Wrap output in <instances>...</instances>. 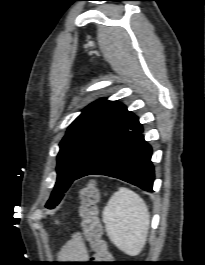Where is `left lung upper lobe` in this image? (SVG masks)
Returning <instances> with one entry per match:
<instances>
[{"label":"left lung upper lobe","mask_w":205,"mask_h":265,"mask_svg":"<svg viewBox=\"0 0 205 265\" xmlns=\"http://www.w3.org/2000/svg\"><path fill=\"white\" fill-rule=\"evenodd\" d=\"M125 105L100 99L69 126L57 156V182L46 207L53 209L82 168L133 118Z\"/></svg>","instance_id":"obj_1"}]
</instances>
